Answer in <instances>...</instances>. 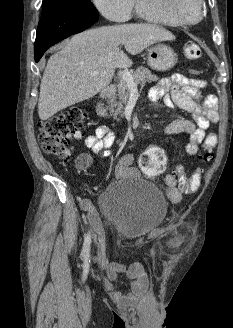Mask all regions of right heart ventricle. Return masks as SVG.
Listing matches in <instances>:
<instances>
[{
  "label": "right heart ventricle",
  "instance_id": "right-heart-ventricle-1",
  "mask_svg": "<svg viewBox=\"0 0 233 328\" xmlns=\"http://www.w3.org/2000/svg\"><path fill=\"white\" fill-rule=\"evenodd\" d=\"M134 9H135L136 15L143 20H146L149 22L160 23V24H164V25H170V26L175 25L172 22L148 11L143 4V0H135Z\"/></svg>",
  "mask_w": 233,
  "mask_h": 328
}]
</instances>
